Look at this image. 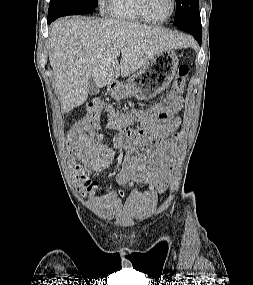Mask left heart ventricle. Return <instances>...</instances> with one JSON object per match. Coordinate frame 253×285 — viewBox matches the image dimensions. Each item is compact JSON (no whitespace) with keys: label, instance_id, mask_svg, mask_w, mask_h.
<instances>
[{"label":"left heart ventricle","instance_id":"1","mask_svg":"<svg viewBox=\"0 0 253 285\" xmlns=\"http://www.w3.org/2000/svg\"><path fill=\"white\" fill-rule=\"evenodd\" d=\"M148 10L155 18L167 17L172 8L171 0H147Z\"/></svg>","mask_w":253,"mask_h":285}]
</instances>
